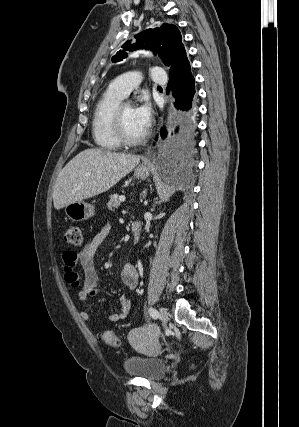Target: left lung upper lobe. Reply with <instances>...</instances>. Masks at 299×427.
<instances>
[{
    "label": "left lung upper lobe",
    "mask_w": 299,
    "mask_h": 427,
    "mask_svg": "<svg viewBox=\"0 0 299 427\" xmlns=\"http://www.w3.org/2000/svg\"><path fill=\"white\" fill-rule=\"evenodd\" d=\"M136 43L130 44V41L124 43L123 50L119 51L113 61H121L127 57V51L136 49H150L158 53L165 64L171 65L177 51L182 45V37L179 29L173 25L164 23L159 28L147 29L137 35Z\"/></svg>",
    "instance_id": "obj_1"
}]
</instances>
